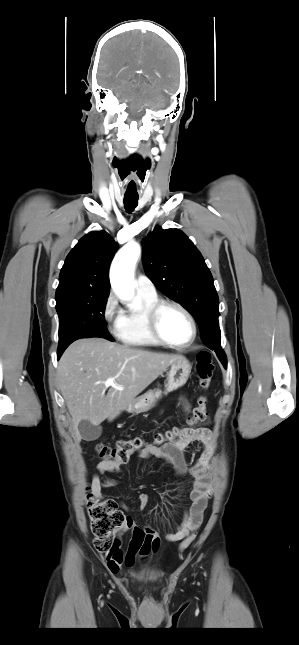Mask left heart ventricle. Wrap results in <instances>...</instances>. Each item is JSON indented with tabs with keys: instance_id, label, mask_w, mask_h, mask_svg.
<instances>
[{
	"instance_id": "1",
	"label": "left heart ventricle",
	"mask_w": 299,
	"mask_h": 645,
	"mask_svg": "<svg viewBox=\"0 0 299 645\" xmlns=\"http://www.w3.org/2000/svg\"><path fill=\"white\" fill-rule=\"evenodd\" d=\"M160 330L167 340L175 343L187 342L192 334L188 318L174 307L163 310L160 317Z\"/></svg>"
}]
</instances>
